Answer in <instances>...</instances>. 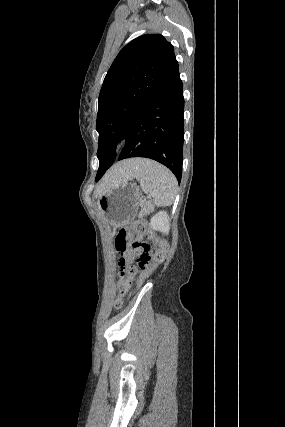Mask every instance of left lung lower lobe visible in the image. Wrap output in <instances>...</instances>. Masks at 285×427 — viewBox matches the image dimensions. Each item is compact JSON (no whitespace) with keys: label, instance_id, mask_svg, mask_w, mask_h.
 <instances>
[{"label":"left lung lower lobe","instance_id":"left-lung-lower-lobe-1","mask_svg":"<svg viewBox=\"0 0 285 427\" xmlns=\"http://www.w3.org/2000/svg\"><path fill=\"white\" fill-rule=\"evenodd\" d=\"M184 98L178 63L147 100L128 127L118 160L145 157L182 176Z\"/></svg>","mask_w":285,"mask_h":427}]
</instances>
